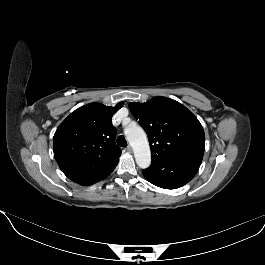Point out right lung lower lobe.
<instances>
[{
    "mask_svg": "<svg viewBox=\"0 0 265 265\" xmlns=\"http://www.w3.org/2000/svg\"><path fill=\"white\" fill-rule=\"evenodd\" d=\"M113 170L109 171H94V170H88L83 172H72L65 174L69 179H71L73 182H76L81 185H91L94 184L105 177H107Z\"/></svg>",
    "mask_w": 265,
    "mask_h": 265,
    "instance_id": "1",
    "label": "right lung lower lobe"
}]
</instances>
